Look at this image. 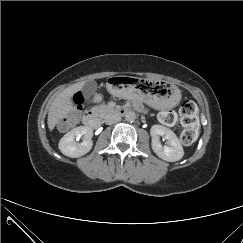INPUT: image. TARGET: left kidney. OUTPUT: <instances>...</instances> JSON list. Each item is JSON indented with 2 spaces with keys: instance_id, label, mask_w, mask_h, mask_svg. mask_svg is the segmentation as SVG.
<instances>
[{
  "instance_id": "obj_1",
  "label": "left kidney",
  "mask_w": 243,
  "mask_h": 243,
  "mask_svg": "<svg viewBox=\"0 0 243 243\" xmlns=\"http://www.w3.org/2000/svg\"><path fill=\"white\" fill-rule=\"evenodd\" d=\"M150 134L152 149L159 158L168 162H175L183 157L184 151L180 140L169 128L162 125H153ZM159 136H163L168 140V146L161 145Z\"/></svg>"
}]
</instances>
